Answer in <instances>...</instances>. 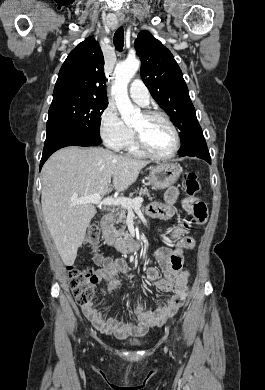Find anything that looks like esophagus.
<instances>
[{
    "label": "esophagus",
    "mask_w": 265,
    "mask_h": 390,
    "mask_svg": "<svg viewBox=\"0 0 265 390\" xmlns=\"http://www.w3.org/2000/svg\"><path fill=\"white\" fill-rule=\"evenodd\" d=\"M117 21H118V23L122 24L123 21H124V18H123V17H118V18H117Z\"/></svg>",
    "instance_id": "obj_1"
}]
</instances>
